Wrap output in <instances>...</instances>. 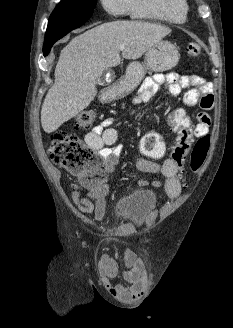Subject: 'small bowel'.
<instances>
[{
  "mask_svg": "<svg viewBox=\"0 0 233 328\" xmlns=\"http://www.w3.org/2000/svg\"><path fill=\"white\" fill-rule=\"evenodd\" d=\"M160 87L167 88L172 96L181 93L186 89L184 102L188 106L199 104L201 111L196 116V124L193 127V134L200 138L209 132L210 117L207 110L214 104L213 86L205 78L197 75L180 76L170 72L167 74H155L146 79L141 90L135 98L136 103L151 101ZM112 118L103 119L91 131L85 135V143L92 150L97 151L104 159L106 173H112L117 163L120 153L119 146L116 145L118 139L117 130L112 127ZM137 168L146 173L159 174L164 178V182L154 181V187L163 186L170 198H176L181 192V169L169 157L162 163H156L146 158L137 161ZM138 184L146 186V180H139ZM108 186L103 182L87 187V194L81 195L79 191L72 193V199L78 209L84 213H94L97 220H101L105 213L106 195ZM126 269L121 273L122 279L127 286L114 283L113 280L119 275L117 262L107 254H103L99 260V268L102 274V283L105 289L120 301H134L140 298L147 284V273L142 260L132 251L123 252Z\"/></svg>",
  "mask_w": 233,
  "mask_h": 328,
  "instance_id": "c3829d8e",
  "label": "small bowel"
}]
</instances>
